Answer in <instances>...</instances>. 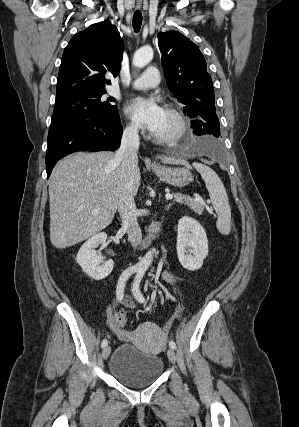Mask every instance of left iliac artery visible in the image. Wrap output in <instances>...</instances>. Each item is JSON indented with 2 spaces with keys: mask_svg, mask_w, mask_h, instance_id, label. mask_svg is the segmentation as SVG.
<instances>
[{
  "mask_svg": "<svg viewBox=\"0 0 299 427\" xmlns=\"http://www.w3.org/2000/svg\"><path fill=\"white\" fill-rule=\"evenodd\" d=\"M144 274H145V270L139 269L135 278H134L133 285H132V293H133L134 297L137 299V301L140 303H145V298L140 291V282H141ZM169 346L172 349H176V344L174 341H170Z\"/></svg>",
  "mask_w": 299,
  "mask_h": 427,
  "instance_id": "1",
  "label": "left iliac artery"
}]
</instances>
